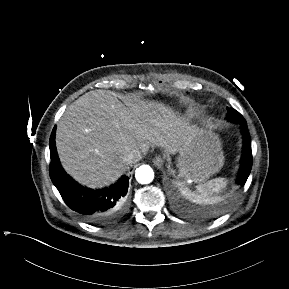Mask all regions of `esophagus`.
I'll list each match as a JSON object with an SVG mask.
<instances>
[{
  "instance_id": "1",
  "label": "esophagus",
  "mask_w": 289,
  "mask_h": 289,
  "mask_svg": "<svg viewBox=\"0 0 289 289\" xmlns=\"http://www.w3.org/2000/svg\"><path fill=\"white\" fill-rule=\"evenodd\" d=\"M153 163L156 167L158 168H162L163 165H164V159L161 157V156H156L154 159H153Z\"/></svg>"
}]
</instances>
